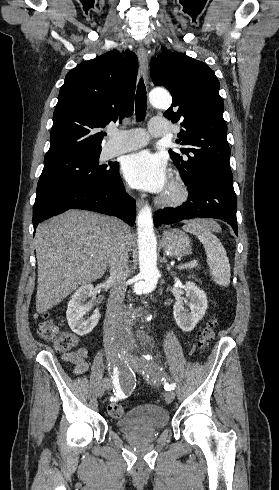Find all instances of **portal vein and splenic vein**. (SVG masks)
<instances>
[{"instance_id":"obj_1","label":"portal vein and splenic vein","mask_w":279,"mask_h":490,"mask_svg":"<svg viewBox=\"0 0 279 490\" xmlns=\"http://www.w3.org/2000/svg\"><path fill=\"white\" fill-rule=\"evenodd\" d=\"M194 266H199L197 260H192L189 264H183V266H178V270H184V268H194Z\"/></svg>"}]
</instances>
